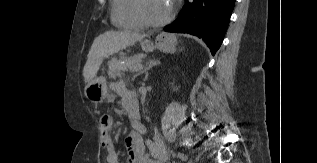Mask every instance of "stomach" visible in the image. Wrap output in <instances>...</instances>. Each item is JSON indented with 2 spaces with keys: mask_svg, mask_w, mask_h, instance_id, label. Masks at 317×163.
Returning <instances> with one entry per match:
<instances>
[{
  "mask_svg": "<svg viewBox=\"0 0 317 163\" xmlns=\"http://www.w3.org/2000/svg\"><path fill=\"white\" fill-rule=\"evenodd\" d=\"M141 47L145 52L153 51L155 48L163 52H172L176 47V37L173 34L160 33L156 37L155 43L144 40L141 42ZM84 93L91 102L102 103L108 96V87L105 77H95L87 84Z\"/></svg>",
  "mask_w": 317,
  "mask_h": 163,
  "instance_id": "0dacf381",
  "label": "stomach"
}]
</instances>
